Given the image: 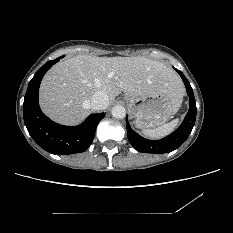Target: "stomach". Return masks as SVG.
<instances>
[{
	"instance_id": "obj_1",
	"label": "stomach",
	"mask_w": 233,
	"mask_h": 233,
	"mask_svg": "<svg viewBox=\"0 0 233 233\" xmlns=\"http://www.w3.org/2000/svg\"><path fill=\"white\" fill-rule=\"evenodd\" d=\"M128 110L135 118L140 129H149L167 122L178 111L176 103L164 93L137 96L127 94L124 97Z\"/></svg>"
}]
</instances>
